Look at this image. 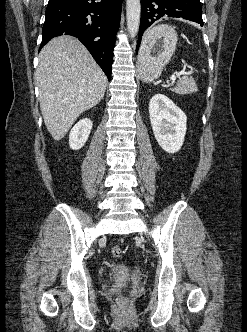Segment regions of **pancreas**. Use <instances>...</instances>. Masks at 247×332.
<instances>
[{
    "label": "pancreas",
    "mask_w": 247,
    "mask_h": 332,
    "mask_svg": "<svg viewBox=\"0 0 247 332\" xmlns=\"http://www.w3.org/2000/svg\"><path fill=\"white\" fill-rule=\"evenodd\" d=\"M180 86L188 91H191L194 88V81L191 77L184 76L180 81Z\"/></svg>",
    "instance_id": "cf45deb5"
}]
</instances>
